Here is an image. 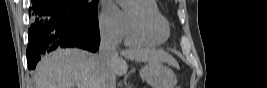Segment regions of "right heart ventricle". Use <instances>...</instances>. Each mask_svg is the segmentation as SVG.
<instances>
[{
	"instance_id": "right-heart-ventricle-1",
	"label": "right heart ventricle",
	"mask_w": 267,
	"mask_h": 88,
	"mask_svg": "<svg viewBox=\"0 0 267 88\" xmlns=\"http://www.w3.org/2000/svg\"><path fill=\"white\" fill-rule=\"evenodd\" d=\"M134 6H139L149 14L156 23L157 32L145 34L134 30L128 23L127 11L125 14V41L129 46H158L164 43L169 35V26L155 0H135Z\"/></svg>"
}]
</instances>
